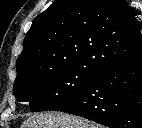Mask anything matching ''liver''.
Masks as SVG:
<instances>
[{"mask_svg":"<svg viewBox=\"0 0 142 128\" xmlns=\"http://www.w3.org/2000/svg\"><path fill=\"white\" fill-rule=\"evenodd\" d=\"M21 128H100L98 125L74 115L64 113H37L23 122Z\"/></svg>","mask_w":142,"mask_h":128,"instance_id":"obj_1","label":"liver"}]
</instances>
